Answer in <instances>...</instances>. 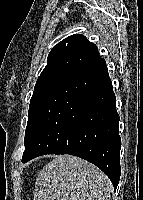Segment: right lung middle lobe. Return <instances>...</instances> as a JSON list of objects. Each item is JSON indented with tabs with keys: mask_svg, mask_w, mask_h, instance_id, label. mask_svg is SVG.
I'll return each mask as SVG.
<instances>
[{
	"mask_svg": "<svg viewBox=\"0 0 143 200\" xmlns=\"http://www.w3.org/2000/svg\"><path fill=\"white\" fill-rule=\"evenodd\" d=\"M66 77L54 76L48 77L45 79L37 80L33 95L31 97L29 112H28V122L25 131V136L27 135L28 128L31 124V121L43 103V101L48 97V95L65 79Z\"/></svg>",
	"mask_w": 143,
	"mask_h": 200,
	"instance_id": "dd1d6c3e",
	"label": "right lung middle lobe"
}]
</instances>
